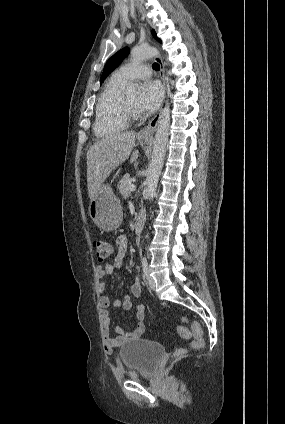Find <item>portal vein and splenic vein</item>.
Segmentation results:
<instances>
[{"label":"portal vein and splenic vein","mask_w":285,"mask_h":424,"mask_svg":"<svg viewBox=\"0 0 285 424\" xmlns=\"http://www.w3.org/2000/svg\"><path fill=\"white\" fill-rule=\"evenodd\" d=\"M136 189V186L135 185H130V187H129V190L132 192V191H134Z\"/></svg>","instance_id":"18ae733b"}]
</instances>
